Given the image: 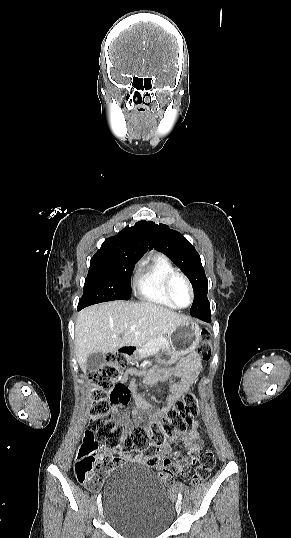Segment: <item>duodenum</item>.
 Instances as JSON below:
<instances>
[{"mask_svg": "<svg viewBox=\"0 0 291 538\" xmlns=\"http://www.w3.org/2000/svg\"><path fill=\"white\" fill-rule=\"evenodd\" d=\"M124 353H125V355H126L127 357H133L134 354H135V348H133V347H126V348L124 349Z\"/></svg>", "mask_w": 291, "mask_h": 538, "instance_id": "410a0bca", "label": "duodenum"}]
</instances>
